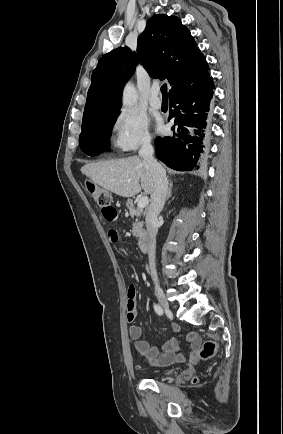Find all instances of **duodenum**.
<instances>
[{"mask_svg": "<svg viewBox=\"0 0 283 434\" xmlns=\"http://www.w3.org/2000/svg\"><path fill=\"white\" fill-rule=\"evenodd\" d=\"M127 205H128V208L131 211L135 210V204H134V202L132 200H129L127 202ZM139 245H140V248H141V250L143 252H147L149 250V247H150V236L147 233H144L141 236L140 241H139Z\"/></svg>", "mask_w": 283, "mask_h": 434, "instance_id": "obj_1", "label": "duodenum"}]
</instances>
